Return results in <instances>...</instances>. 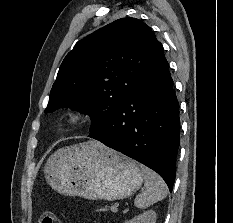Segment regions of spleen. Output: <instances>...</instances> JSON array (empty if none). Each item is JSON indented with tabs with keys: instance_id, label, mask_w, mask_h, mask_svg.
<instances>
[{
	"instance_id": "obj_1",
	"label": "spleen",
	"mask_w": 233,
	"mask_h": 223,
	"mask_svg": "<svg viewBox=\"0 0 233 223\" xmlns=\"http://www.w3.org/2000/svg\"><path fill=\"white\" fill-rule=\"evenodd\" d=\"M144 173L145 189L136 195L134 201L136 207H141V209L153 205L156 201H161L167 193V185L158 173H155L152 169H147V167H145Z\"/></svg>"
}]
</instances>
